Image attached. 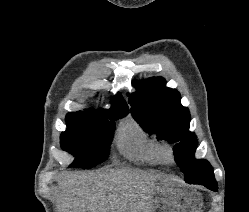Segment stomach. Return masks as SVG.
I'll use <instances>...</instances> for the list:
<instances>
[{
  "mask_svg": "<svg viewBox=\"0 0 249 212\" xmlns=\"http://www.w3.org/2000/svg\"><path fill=\"white\" fill-rule=\"evenodd\" d=\"M152 202L156 212H200L203 198L196 190L175 180V175H160Z\"/></svg>",
  "mask_w": 249,
  "mask_h": 212,
  "instance_id": "stomach-1",
  "label": "stomach"
}]
</instances>
